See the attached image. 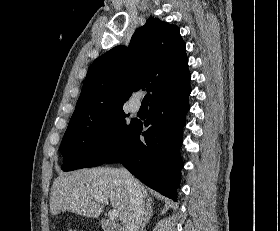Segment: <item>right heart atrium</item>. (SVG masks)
<instances>
[{"instance_id": "1", "label": "right heart atrium", "mask_w": 280, "mask_h": 231, "mask_svg": "<svg viewBox=\"0 0 280 231\" xmlns=\"http://www.w3.org/2000/svg\"><path fill=\"white\" fill-rule=\"evenodd\" d=\"M115 131L113 129H108L103 132V134L100 137V147L103 150L110 149L114 143H115Z\"/></svg>"}]
</instances>
